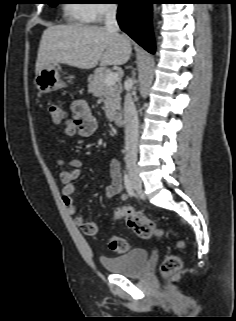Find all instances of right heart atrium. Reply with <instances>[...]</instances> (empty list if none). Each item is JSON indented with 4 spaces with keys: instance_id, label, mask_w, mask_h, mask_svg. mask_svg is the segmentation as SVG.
<instances>
[{
    "instance_id": "right-heart-atrium-1",
    "label": "right heart atrium",
    "mask_w": 236,
    "mask_h": 321,
    "mask_svg": "<svg viewBox=\"0 0 236 321\" xmlns=\"http://www.w3.org/2000/svg\"><path fill=\"white\" fill-rule=\"evenodd\" d=\"M115 10L114 0H93V3L87 5L86 18L91 22H100Z\"/></svg>"
}]
</instances>
